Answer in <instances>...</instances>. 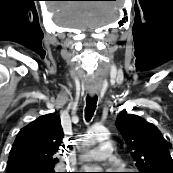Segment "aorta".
<instances>
[{
	"label": "aorta",
	"instance_id": "obj_1",
	"mask_svg": "<svg viewBox=\"0 0 173 173\" xmlns=\"http://www.w3.org/2000/svg\"><path fill=\"white\" fill-rule=\"evenodd\" d=\"M108 136V130L104 127H94L92 128L86 136V144L93 145L98 141L106 139ZM98 170L99 168H93Z\"/></svg>",
	"mask_w": 173,
	"mask_h": 173
}]
</instances>
